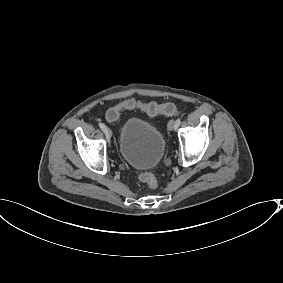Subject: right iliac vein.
I'll return each instance as SVG.
<instances>
[{"label":"right iliac vein","instance_id":"obj_1","mask_svg":"<svg viewBox=\"0 0 283 283\" xmlns=\"http://www.w3.org/2000/svg\"><path fill=\"white\" fill-rule=\"evenodd\" d=\"M106 134H107V136H108L109 138L111 137L112 132H111V130H110L109 128H107Z\"/></svg>","mask_w":283,"mask_h":283}]
</instances>
